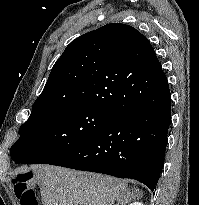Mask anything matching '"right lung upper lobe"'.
Here are the masks:
<instances>
[{
	"instance_id": "obj_1",
	"label": "right lung upper lobe",
	"mask_w": 199,
	"mask_h": 205,
	"mask_svg": "<svg viewBox=\"0 0 199 205\" xmlns=\"http://www.w3.org/2000/svg\"><path fill=\"white\" fill-rule=\"evenodd\" d=\"M163 73L149 40L132 26L108 24L73 40L54 64L32 109L89 105L111 112L133 105Z\"/></svg>"
}]
</instances>
